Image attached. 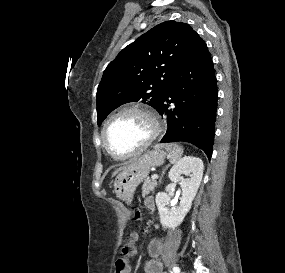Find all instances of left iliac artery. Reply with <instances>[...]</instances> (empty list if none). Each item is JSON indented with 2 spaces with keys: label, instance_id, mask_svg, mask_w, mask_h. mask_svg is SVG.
I'll return each instance as SVG.
<instances>
[{
  "label": "left iliac artery",
  "instance_id": "left-iliac-artery-1",
  "mask_svg": "<svg viewBox=\"0 0 285 273\" xmlns=\"http://www.w3.org/2000/svg\"><path fill=\"white\" fill-rule=\"evenodd\" d=\"M173 272H174V273H180V268L177 267V266H174V267H173Z\"/></svg>",
  "mask_w": 285,
  "mask_h": 273
}]
</instances>
